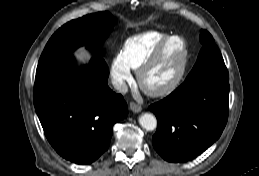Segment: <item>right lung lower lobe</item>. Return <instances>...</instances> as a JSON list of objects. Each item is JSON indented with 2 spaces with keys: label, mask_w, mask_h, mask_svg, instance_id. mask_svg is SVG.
<instances>
[{
  "label": "right lung lower lobe",
  "mask_w": 259,
  "mask_h": 176,
  "mask_svg": "<svg viewBox=\"0 0 259 176\" xmlns=\"http://www.w3.org/2000/svg\"><path fill=\"white\" fill-rule=\"evenodd\" d=\"M73 55L38 64L34 106L45 136L56 152L76 164H90L110 144L113 125L128 114L122 95L107 84L109 70L101 57L71 78Z\"/></svg>",
  "instance_id": "right-lung-lower-lobe-1"
}]
</instances>
